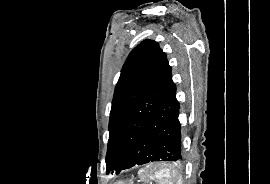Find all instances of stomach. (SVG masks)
<instances>
[{
  "mask_svg": "<svg viewBox=\"0 0 270 184\" xmlns=\"http://www.w3.org/2000/svg\"><path fill=\"white\" fill-rule=\"evenodd\" d=\"M115 184H133L132 182L118 181Z\"/></svg>",
  "mask_w": 270,
  "mask_h": 184,
  "instance_id": "1",
  "label": "stomach"
}]
</instances>
